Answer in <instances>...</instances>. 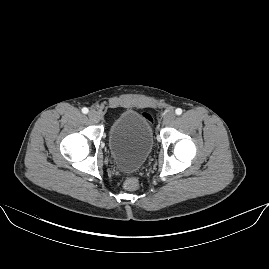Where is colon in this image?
<instances>
[{"mask_svg": "<svg viewBox=\"0 0 269 269\" xmlns=\"http://www.w3.org/2000/svg\"><path fill=\"white\" fill-rule=\"evenodd\" d=\"M142 117L150 122V123H153L154 122V118L151 114L145 112L142 114ZM141 184V181L138 177L136 176H126L124 178V181H123V186L126 190L128 191H133V190H136Z\"/></svg>", "mask_w": 269, "mask_h": 269, "instance_id": "colon-1", "label": "colon"}]
</instances>
